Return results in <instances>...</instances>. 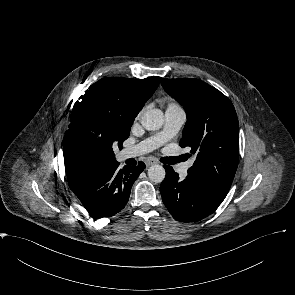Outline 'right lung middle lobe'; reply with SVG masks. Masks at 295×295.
<instances>
[{
  "label": "right lung middle lobe",
  "instance_id": "obj_1",
  "mask_svg": "<svg viewBox=\"0 0 295 295\" xmlns=\"http://www.w3.org/2000/svg\"><path fill=\"white\" fill-rule=\"evenodd\" d=\"M142 107L127 78H103L74 104L66 133L98 161L114 162L113 147L122 148Z\"/></svg>",
  "mask_w": 295,
  "mask_h": 295
}]
</instances>
